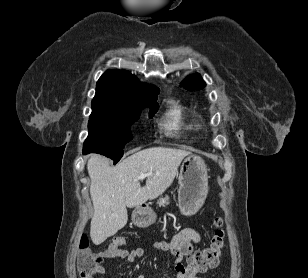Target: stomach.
Returning <instances> with one entry per match:
<instances>
[{"mask_svg":"<svg viewBox=\"0 0 308 278\" xmlns=\"http://www.w3.org/2000/svg\"><path fill=\"white\" fill-rule=\"evenodd\" d=\"M208 179V168L201 157L189 155L184 159L178 176V205L182 214L194 215L202 207L208 193ZM133 220L140 227H148L156 221V215L148 207L139 208Z\"/></svg>","mask_w":308,"mask_h":278,"instance_id":"1","label":"stomach"}]
</instances>
